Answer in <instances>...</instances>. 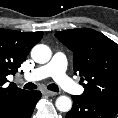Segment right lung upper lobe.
<instances>
[{"instance_id": "1", "label": "right lung upper lobe", "mask_w": 118, "mask_h": 118, "mask_svg": "<svg viewBox=\"0 0 118 118\" xmlns=\"http://www.w3.org/2000/svg\"><path fill=\"white\" fill-rule=\"evenodd\" d=\"M43 32H19L0 29V116L29 97L31 91L6 85L7 76L15 74Z\"/></svg>"}]
</instances>
